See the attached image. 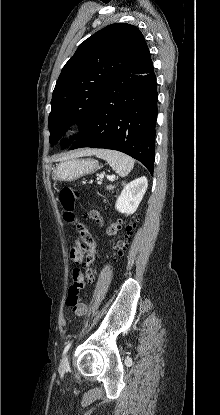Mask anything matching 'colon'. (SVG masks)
I'll return each mask as SVG.
<instances>
[{"label":"colon","mask_w":220,"mask_h":415,"mask_svg":"<svg viewBox=\"0 0 220 415\" xmlns=\"http://www.w3.org/2000/svg\"><path fill=\"white\" fill-rule=\"evenodd\" d=\"M78 193L70 188H65L60 193V202L64 209V220L68 223L74 222V205ZM89 217L101 222V215L98 211L92 210L89 212ZM121 223L117 221L108 226L107 232L110 235L115 234L120 229ZM134 224H129L126 226V237L129 236L133 230ZM73 230L77 236L76 242L71 246L69 255L71 260L76 264H80L84 261L85 271L84 279L91 283L93 282L94 276L92 271V266L95 260V242L90 235L89 231L85 225L80 223H74ZM126 238L121 239L116 242L114 250L116 253H120L126 246ZM84 279L81 277L80 271L76 268L73 271V281L69 287L68 296H67V305L70 308H76L77 311L81 314H86L87 305L82 300V291L85 287Z\"/></svg>","instance_id":"5ec220e1"}]
</instances>
